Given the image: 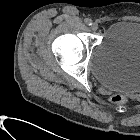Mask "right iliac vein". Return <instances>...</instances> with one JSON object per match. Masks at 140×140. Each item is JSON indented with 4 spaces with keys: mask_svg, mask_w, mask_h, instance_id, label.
<instances>
[{
    "mask_svg": "<svg viewBox=\"0 0 140 140\" xmlns=\"http://www.w3.org/2000/svg\"><path fill=\"white\" fill-rule=\"evenodd\" d=\"M98 24L97 23H92V25H91V30L92 31H97L98 30Z\"/></svg>",
    "mask_w": 140,
    "mask_h": 140,
    "instance_id": "63e3f726",
    "label": "right iliac vein"
}]
</instances>
